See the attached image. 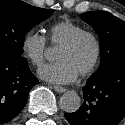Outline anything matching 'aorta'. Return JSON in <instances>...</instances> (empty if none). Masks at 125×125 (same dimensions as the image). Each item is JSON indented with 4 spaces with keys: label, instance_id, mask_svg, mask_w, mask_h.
Segmentation results:
<instances>
[{
    "label": "aorta",
    "instance_id": "obj_1",
    "mask_svg": "<svg viewBox=\"0 0 125 125\" xmlns=\"http://www.w3.org/2000/svg\"><path fill=\"white\" fill-rule=\"evenodd\" d=\"M45 57L51 59L52 53L50 49L46 50ZM60 105L64 111L72 113L80 108L81 98L76 92L67 91L61 96Z\"/></svg>",
    "mask_w": 125,
    "mask_h": 125
}]
</instances>
